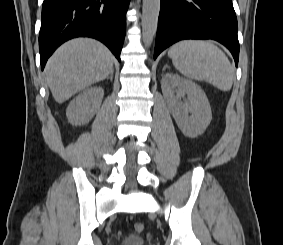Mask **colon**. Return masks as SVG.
<instances>
[{"instance_id": "obj_1", "label": "colon", "mask_w": 283, "mask_h": 245, "mask_svg": "<svg viewBox=\"0 0 283 245\" xmlns=\"http://www.w3.org/2000/svg\"><path fill=\"white\" fill-rule=\"evenodd\" d=\"M134 230L137 233H141L144 230V225L140 222L134 224Z\"/></svg>"}]
</instances>
